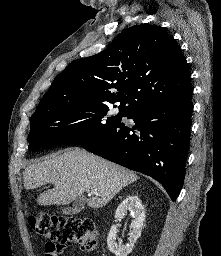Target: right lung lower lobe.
I'll return each mask as SVG.
<instances>
[{
  "label": "right lung lower lobe",
  "mask_w": 221,
  "mask_h": 256,
  "mask_svg": "<svg viewBox=\"0 0 221 256\" xmlns=\"http://www.w3.org/2000/svg\"><path fill=\"white\" fill-rule=\"evenodd\" d=\"M192 110V94L156 102L133 113L135 126L121 122L81 146L156 179L175 201L184 183Z\"/></svg>",
  "instance_id": "obj_1"
}]
</instances>
